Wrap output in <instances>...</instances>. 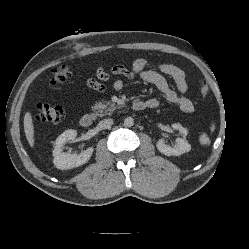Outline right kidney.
<instances>
[{
  "label": "right kidney",
  "instance_id": "obj_1",
  "mask_svg": "<svg viewBox=\"0 0 249 249\" xmlns=\"http://www.w3.org/2000/svg\"><path fill=\"white\" fill-rule=\"evenodd\" d=\"M76 130H67L63 132L55 141V147L53 150V163L58 169H71L79 167L89 161L94 149L90 147L79 155L75 153L62 152L64 144L68 141H72L76 138Z\"/></svg>",
  "mask_w": 249,
  "mask_h": 249
}]
</instances>
